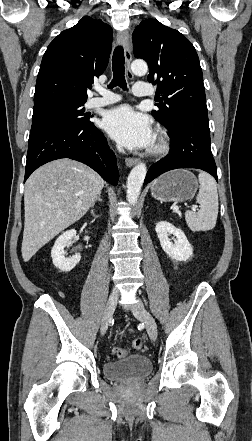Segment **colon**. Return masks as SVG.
Masks as SVG:
<instances>
[{"instance_id":"1","label":"colon","mask_w":252,"mask_h":441,"mask_svg":"<svg viewBox=\"0 0 252 441\" xmlns=\"http://www.w3.org/2000/svg\"><path fill=\"white\" fill-rule=\"evenodd\" d=\"M143 346L142 340L140 338H136L132 342V347L135 350H141ZM113 354L118 357L122 358L127 355V351L124 348L116 347L113 349Z\"/></svg>"}]
</instances>
